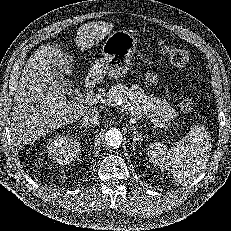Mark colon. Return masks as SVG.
Returning a JSON list of instances; mask_svg holds the SVG:
<instances>
[{
	"instance_id": "obj_1",
	"label": "colon",
	"mask_w": 231,
	"mask_h": 231,
	"mask_svg": "<svg viewBox=\"0 0 231 231\" xmlns=\"http://www.w3.org/2000/svg\"><path fill=\"white\" fill-rule=\"evenodd\" d=\"M159 52L177 67H185L190 62V54L185 49L175 48L163 43H159ZM181 107L185 111H191L193 108V96L191 93H185L181 100Z\"/></svg>"
}]
</instances>
